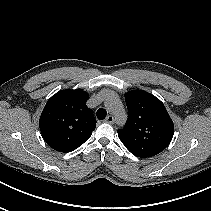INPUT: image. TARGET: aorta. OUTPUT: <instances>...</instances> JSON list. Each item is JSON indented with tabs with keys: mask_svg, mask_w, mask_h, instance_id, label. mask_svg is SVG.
<instances>
[{
	"mask_svg": "<svg viewBox=\"0 0 211 211\" xmlns=\"http://www.w3.org/2000/svg\"><path fill=\"white\" fill-rule=\"evenodd\" d=\"M106 107L117 117H125V111L122 103L116 98H110L106 102Z\"/></svg>",
	"mask_w": 211,
	"mask_h": 211,
	"instance_id": "aorta-1",
	"label": "aorta"
}]
</instances>
